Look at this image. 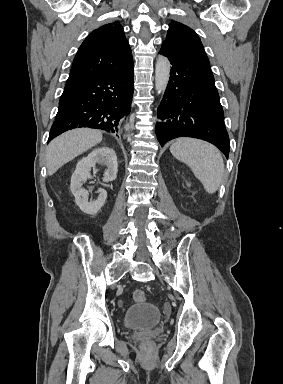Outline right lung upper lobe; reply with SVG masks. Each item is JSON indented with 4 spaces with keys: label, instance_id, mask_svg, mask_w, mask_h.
<instances>
[{
    "label": "right lung upper lobe",
    "instance_id": "right-lung-upper-lobe-1",
    "mask_svg": "<svg viewBox=\"0 0 283 384\" xmlns=\"http://www.w3.org/2000/svg\"><path fill=\"white\" fill-rule=\"evenodd\" d=\"M133 66L132 52L118 22L95 29L81 44L65 89L87 79L124 71Z\"/></svg>",
    "mask_w": 283,
    "mask_h": 384
}]
</instances>
